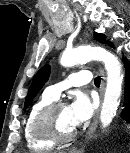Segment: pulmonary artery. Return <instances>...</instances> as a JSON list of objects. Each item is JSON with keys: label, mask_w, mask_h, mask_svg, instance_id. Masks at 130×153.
Instances as JSON below:
<instances>
[{"label": "pulmonary artery", "mask_w": 130, "mask_h": 153, "mask_svg": "<svg viewBox=\"0 0 130 153\" xmlns=\"http://www.w3.org/2000/svg\"><path fill=\"white\" fill-rule=\"evenodd\" d=\"M91 78V73L89 71L72 73L65 81L49 86L45 92L51 97L58 99L61 92L66 88L70 86L85 85L91 81Z\"/></svg>", "instance_id": "obj_1"}]
</instances>
